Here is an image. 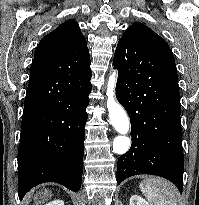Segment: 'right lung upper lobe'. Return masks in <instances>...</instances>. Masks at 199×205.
I'll list each match as a JSON object with an SVG mask.
<instances>
[{"instance_id":"right-lung-upper-lobe-1","label":"right lung upper lobe","mask_w":199,"mask_h":205,"mask_svg":"<svg viewBox=\"0 0 199 205\" xmlns=\"http://www.w3.org/2000/svg\"><path fill=\"white\" fill-rule=\"evenodd\" d=\"M91 75L86 39L74 20H68L47 34L38 44L30 69L29 83L50 86L43 93L25 98L24 110L67 89L69 80Z\"/></svg>"}]
</instances>
